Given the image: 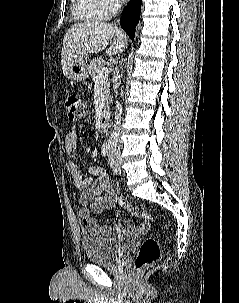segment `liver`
I'll return each mask as SVG.
<instances>
[{
	"mask_svg": "<svg viewBox=\"0 0 239 303\" xmlns=\"http://www.w3.org/2000/svg\"><path fill=\"white\" fill-rule=\"evenodd\" d=\"M113 43L107 50L112 56L127 48L126 35L116 26L102 21H86L72 25L63 39L61 64L66 73L67 66L74 59L104 50L109 41Z\"/></svg>",
	"mask_w": 239,
	"mask_h": 303,
	"instance_id": "liver-1",
	"label": "liver"
}]
</instances>
